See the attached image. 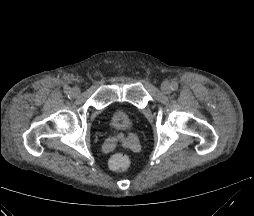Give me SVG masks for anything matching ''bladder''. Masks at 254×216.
Returning <instances> with one entry per match:
<instances>
[{
	"mask_svg": "<svg viewBox=\"0 0 254 216\" xmlns=\"http://www.w3.org/2000/svg\"><path fill=\"white\" fill-rule=\"evenodd\" d=\"M133 116L123 110L115 109L112 112V126L117 130H126Z\"/></svg>",
	"mask_w": 254,
	"mask_h": 216,
	"instance_id": "obj_1",
	"label": "bladder"
}]
</instances>
